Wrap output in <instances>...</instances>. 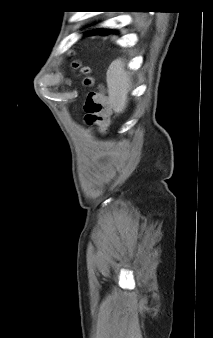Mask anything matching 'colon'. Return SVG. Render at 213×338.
<instances>
[{"mask_svg":"<svg viewBox=\"0 0 213 338\" xmlns=\"http://www.w3.org/2000/svg\"><path fill=\"white\" fill-rule=\"evenodd\" d=\"M76 67L80 64L76 63ZM85 73L89 72V69L84 68ZM85 85L91 86L92 79L87 77L84 81ZM85 110V122L91 127H98L100 130H105L108 125V106L100 92L90 91L87 95Z\"/></svg>","mask_w":213,"mask_h":338,"instance_id":"5ec220e1","label":"colon"}]
</instances>
